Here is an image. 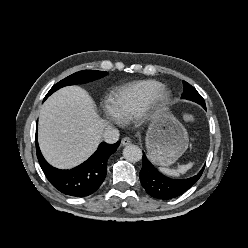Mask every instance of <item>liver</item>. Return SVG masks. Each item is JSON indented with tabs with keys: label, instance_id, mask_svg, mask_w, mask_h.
Segmentation results:
<instances>
[{
	"label": "liver",
	"instance_id": "obj_1",
	"mask_svg": "<svg viewBox=\"0 0 248 248\" xmlns=\"http://www.w3.org/2000/svg\"><path fill=\"white\" fill-rule=\"evenodd\" d=\"M108 127L112 126L100 118L89 94L79 86H68L52 94L41 107L38 142L51 165L73 168L94 153Z\"/></svg>",
	"mask_w": 248,
	"mask_h": 248
}]
</instances>
